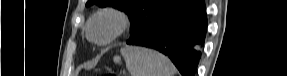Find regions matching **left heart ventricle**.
Returning <instances> with one entry per match:
<instances>
[{"mask_svg": "<svg viewBox=\"0 0 287 76\" xmlns=\"http://www.w3.org/2000/svg\"><path fill=\"white\" fill-rule=\"evenodd\" d=\"M113 29V22L110 19H102L97 21L92 27L94 36L102 38L107 36Z\"/></svg>", "mask_w": 287, "mask_h": 76, "instance_id": "left-heart-ventricle-1", "label": "left heart ventricle"}]
</instances>
